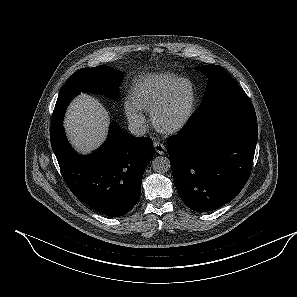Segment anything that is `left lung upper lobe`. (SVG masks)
I'll use <instances>...</instances> for the list:
<instances>
[{"label": "left lung upper lobe", "mask_w": 297, "mask_h": 297, "mask_svg": "<svg viewBox=\"0 0 297 297\" xmlns=\"http://www.w3.org/2000/svg\"><path fill=\"white\" fill-rule=\"evenodd\" d=\"M208 77L201 105L196 111L199 114L203 109L215 108L224 101L249 100L248 96L236 81L218 65H204L195 68Z\"/></svg>", "instance_id": "5c2ea615"}]
</instances>
